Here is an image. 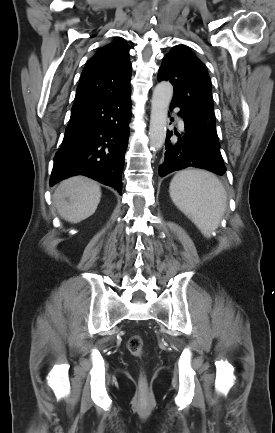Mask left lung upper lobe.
Masks as SVG:
<instances>
[{"instance_id":"left-lung-upper-lobe-1","label":"left lung upper lobe","mask_w":275,"mask_h":433,"mask_svg":"<svg viewBox=\"0 0 275 433\" xmlns=\"http://www.w3.org/2000/svg\"><path fill=\"white\" fill-rule=\"evenodd\" d=\"M158 80H169L174 87L173 99L188 114L192 126L214 139L220 149L215 127L211 81L205 65L185 45H178L163 58Z\"/></svg>"}]
</instances>
